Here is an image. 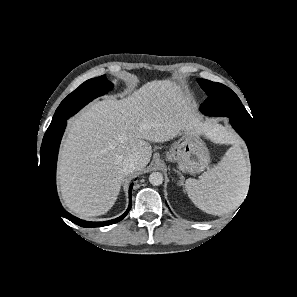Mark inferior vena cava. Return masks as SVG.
Listing matches in <instances>:
<instances>
[{"label":"inferior vena cava","instance_id":"1","mask_svg":"<svg viewBox=\"0 0 297 297\" xmlns=\"http://www.w3.org/2000/svg\"><path fill=\"white\" fill-rule=\"evenodd\" d=\"M139 159L136 156H130L127 159L124 160L123 162V171L128 174L132 173L137 165H138Z\"/></svg>","mask_w":297,"mask_h":297}]
</instances>
